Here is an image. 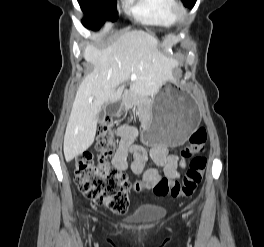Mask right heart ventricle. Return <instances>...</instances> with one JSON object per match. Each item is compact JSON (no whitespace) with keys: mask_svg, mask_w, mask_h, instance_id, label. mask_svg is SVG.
<instances>
[{"mask_svg":"<svg viewBox=\"0 0 264 247\" xmlns=\"http://www.w3.org/2000/svg\"><path fill=\"white\" fill-rule=\"evenodd\" d=\"M129 9L141 23L162 27L176 24L174 7L176 0H127Z\"/></svg>","mask_w":264,"mask_h":247,"instance_id":"obj_1","label":"right heart ventricle"}]
</instances>
